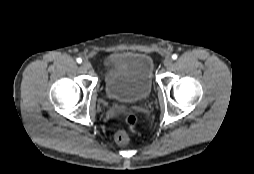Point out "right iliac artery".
Segmentation results:
<instances>
[{
    "label": "right iliac artery",
    "mask_w": 254,
    "mask_h": 174,
    "mask_svg": "<svg viewBox=\"0 0 254 174\" xmlns=\"http://www.w3.org/2000/svg\"><path fill=\"white\" fill-rule=\"evenodd\" d=\"M76 61L80 64L82 62V59L81 58H77Z\"/></svg>",
    "instance_id": "1"
}]
</instances>
